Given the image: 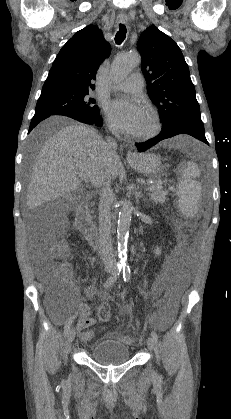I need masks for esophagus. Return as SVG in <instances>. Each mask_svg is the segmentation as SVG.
I'll return each mask as SVG.
<instances>
[{"mask_svg": "<svg viewBox=\"0 0 231 419\" xmlns=\"http://www.w3.org/2000/svg\"><path fill=\"white\" fill-rule=\"evenodd\" d=\"M120 20H121L122 22H125V21H126V18L121 17V18H120ZM126 158H127V160H132V159H134V158H135V153H134V152H132V151H128V152H127V155H126Z\"/></svg>", "mask_w": 231, "mask_h": 419, "instance_id": "obj_1", "label": "esophagus"}]
</instances>
